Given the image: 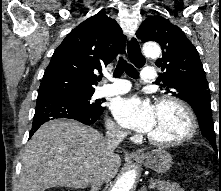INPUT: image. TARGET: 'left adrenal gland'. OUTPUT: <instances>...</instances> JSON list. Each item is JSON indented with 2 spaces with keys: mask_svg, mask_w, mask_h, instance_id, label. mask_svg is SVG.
<instances>
[{
  "mask_svg": "<svg viewBox=\"0 0 221 191\" xmlns=\"http://www.w3.org/2000/svg\"><path fill=\"white\" fill-rule=\"evenodd\" d=\"M138 191H147V188H146V186H143L140 190H138Z\"/></svg>",
  "mask_w": 221,
  "mask_h": 191,
  "instance_id": "a2214340",
  "label": "left adrenal gland"
}]
</instances>
